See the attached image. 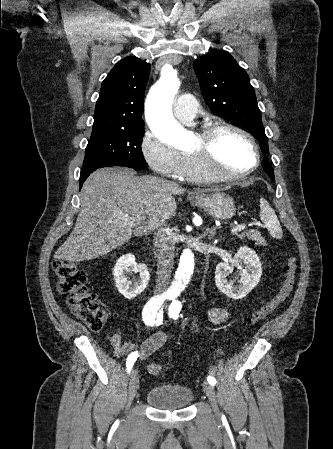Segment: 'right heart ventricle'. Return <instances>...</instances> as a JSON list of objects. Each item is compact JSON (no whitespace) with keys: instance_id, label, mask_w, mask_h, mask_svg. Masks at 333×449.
<instances>
[{"instance_id":"right-heart-ventricle-1","label":"right heart ventricle","mask_w":333,"mask_h":449,"mask_svg":"<svg viewBox=\"0 0 333 449\" xmlns=\"http://www.w3.org/2000/svg\"><path fill=\"white\" fill-rule=\"evenodd\" d=\"M183 167L181 172V179L192 182H207L209 181L201 172L197 162L190 154H183Z\"/></svg>"}]
</instances>
